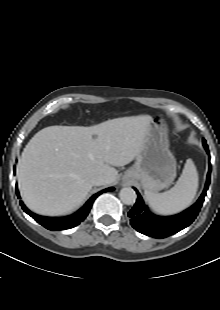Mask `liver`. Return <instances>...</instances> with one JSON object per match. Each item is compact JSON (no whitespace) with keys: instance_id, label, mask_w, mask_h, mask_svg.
I'll return each instance as SVG.
<instances>
[{"instance_id":"obj_1","label":"liver","mask_w":220,"mask_h":310,"mask_svg":"<svg viewBox=\"0 0 220 310\" xmlns=\"http://www.w3.org/2000/svg\"><path fill=\"white\" fill-rule=\"evenodd\" d=\"M152 117L139 115L84 126H49L37 132L22 152L18 186L27 207L46 216L77 208L92 189L95 175L116 181L114 168L142 151Z\"/></svg>"}]
</instances>
